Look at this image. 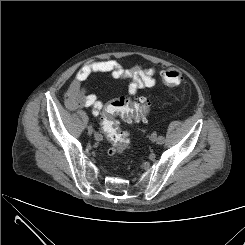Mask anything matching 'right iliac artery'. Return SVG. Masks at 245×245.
<instances>
[{"instance_id": "right-iliac-artery-1", "label": "right iliac artery", "mask_w": 245, "mask_h": 245, "mask_svg": "<svg viewBox=\"0 0 245 245\" xmlns=\"http://www.w3.org/2000/svg\"><path fill=\"white\" fill-rule=\"evenodd\" d=\"M99 140H102V135L98 133Z\"/></svg>"}]
</instances>
